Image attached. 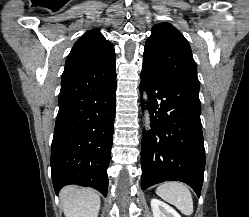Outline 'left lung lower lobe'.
Wrapping results in <instances>:
<instances>
[{"label":"left lung lower lobe","mask_w":249,"mask_h":217,"mask_svg":"<svg viewBox=\"0 0 249 217\" xmlns=\"http://www.w3.org/2000/svg\"><path fill=\"white\" fill-rule=\"evenodd\" d=\"M140 77L141 92L147 87L152 128L142 137V190L164 181H181L200 196L205 150L199 89L157 78L144 68Z\"/></svg>","instance_id":"obj_1"}]
</instances>
